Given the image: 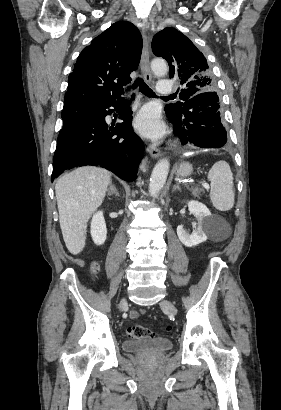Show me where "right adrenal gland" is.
Wrapping results in <instances>:
<instances>
[{
	"label": "right adrenal gland",
	"instance_id": "right-adrenal-gland-1",
	"mask_svg": "<svg viewBox=\"0 0 281 410\" xmlns=\"http://www.w3.org/2000/svg\"><path fill=\"white\" fill-rule=\"evenodd\" d=\"M112 194H115L116 196H120L119 192L116 189V187L112 183H110V187H109V190H108V195L111 196Z\"/></svg>",
	"mask_w": 281,
	"mask_h": 410
}]
</instances>
